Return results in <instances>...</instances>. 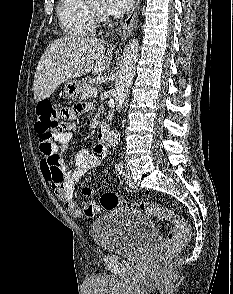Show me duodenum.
<instances>
[{
	"label": "duodenum",
	"mask_w": 233,
	"mask_h": 294,
	"mask_svg": "<svg viewBox=\"0 0 233 294\" xmlns=\"http://www.w3.org/2000/svg\"><path fill=\"white\" fill-rule=\"evenodd\" d=\"M109 128L106 124H101L97 129V138L102 145L108 143Z\"/></svg>",
	"instance_id": "duodenum-1"
}]
</instances>
